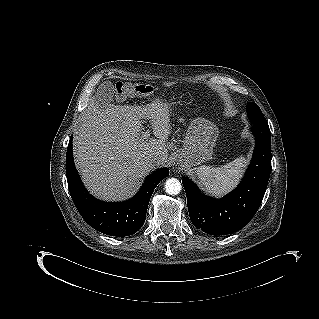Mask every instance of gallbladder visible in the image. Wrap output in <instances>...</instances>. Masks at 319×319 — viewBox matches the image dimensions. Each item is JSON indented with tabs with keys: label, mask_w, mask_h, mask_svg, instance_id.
<instances>
[{
	"label": "gallbladder",
	"mask_w": 319,
	"mask_h": 319,
	"mask_svg": "<svg viewBox=\"0 0 319 319\" xmlns=\"http://www.w3.org/2000/svg\"><path fill=\"white\" fill-rule=\"evenodd\" d=\"M105 101H111V99H109V96H105Z\"/></svg>",
	"instance_id": "obj_1"
}]
</instances>
